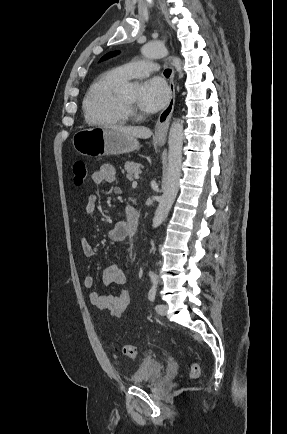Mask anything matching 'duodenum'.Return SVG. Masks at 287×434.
<instances>
[{"instance_id":"1","label":"duodenum","mask_w":287,"mask_h":434,"mask_svg":"<svg viewBox=\"0 0 287 434\" xmlns=\"http://www.w3.org/2000/svg\"><path fill=\"white\" fill-rule=\"evenodd\" d=\"M126 223L128 235L134 236L139 226V212L134 207H128Z\"/></svg>"}]
</instances>
